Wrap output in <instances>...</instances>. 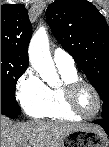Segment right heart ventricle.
<instances>
[{"mask_svg": "<svg viewBox=\"0 0 109 147\" xmlns=\"http://www.w3.org/2000/svg\"><path fill=\"white\" fill-rule=\"evenodd\" d=\"M62 80L63 85L71 81L72 79L78 78L76 69L74 70H62L58 69ZM49 91V100L46 104L41 106L32 107L26 109L25 111L34 118L39 119H51L56 121H79L80 117L76 116L68 108L64 93L61 87H51L48 88Z\"/></svg>", "mask_w": 109, "mask_h": 147, "instance_id": "e07e8e85", "label": "right heart ventricle"}]
</instances>
